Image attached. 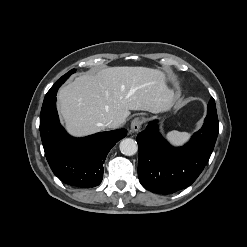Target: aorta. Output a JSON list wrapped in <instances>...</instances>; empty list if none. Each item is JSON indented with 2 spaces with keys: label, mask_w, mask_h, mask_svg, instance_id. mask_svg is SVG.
I'll use <instances>...</instances> for the list:
<instances>
[{
  "label": "aorta",
  "mask_w": 247,
  "mask_h": 247,
  "mask_svg": "<svg viewBox=\"0 0 247 247\" xmlns=\"http://www.w3.org/2000/svg\"><path fill=\"white\" fill-rule=\"evenodd\" d=\"M120 151L126 156H132L138 151L137 142L131 138H125L120 142Z\"/></svg>",
  "instance_id": "762f6f07"
}]
</instances>
